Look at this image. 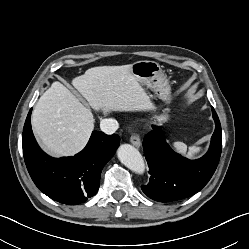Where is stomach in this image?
<instances>
[{"label":"stomach","instance_id":"0dacf381","mask_svg":"<svg viewBox=\"0 0 249 249\" xmlns=\"http://www.w3.org/2000/svg\"><path fill=\"white\" fill-rule=\"evenodd\" d=\"M132 74L139 82L153 91L160 99L170 100L171 87L164 76L160 65L155 61H137L129 65ZM168 116L164 113L158 117V121H167Z\"/></svg>","mask_w":249,"mask_h":249}]
</instances>
